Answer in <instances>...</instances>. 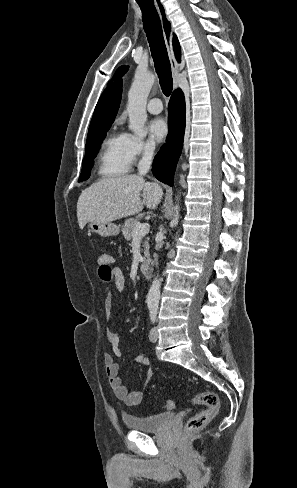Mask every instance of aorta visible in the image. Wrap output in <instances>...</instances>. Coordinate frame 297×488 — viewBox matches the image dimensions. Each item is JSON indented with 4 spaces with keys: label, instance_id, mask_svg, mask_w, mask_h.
<instances>
[{
    "label": "aorta",
    "instance_id": "aorta-1",
    "mask_svg": "<svg viewBox=\"0 0 297 488\" xmlns=\"http://www.w3.org/2000/svg\"><path fill=\"white\" fill-rule=\"evenodd\" d=\"M156 76L149 72L137 71L134 81L128 93L127 111L129 114V129L138 136L145 134V122L147 120L146 104L149 92L154 84ZM179 204L174 206V216L171 221L173 226L178 225L179 221ZM161 282L158 277L154 278L148 295V307H157L160 298Z\"/></svg>",
    "mask_w": 297,
    "mask_h": 488
}]
</instances>
